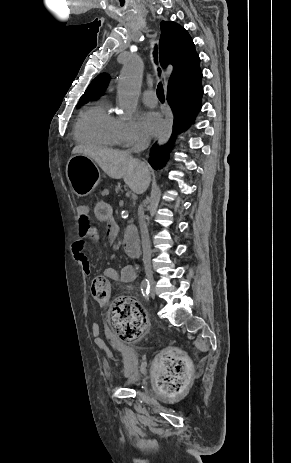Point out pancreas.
Here are the masks:
<instances>
[{"label":"pancreas","mask_w":291,"mask_h":463,"mask_svg":"<svg viewBox=\"0 0 291 463\" xmlns=\"http://www.w3.org/2000/svg\"><path fill=\"white\" fill-rule=\"evenodd\" d=\"M110 191L114 193L115 196L120 197L123 193L122 189L117 185H111L109 187Z\"/></svg>","instance_id":"obj_1"}]
</instances>
